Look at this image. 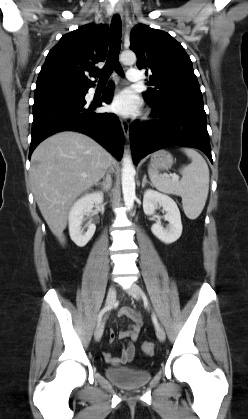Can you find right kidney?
Listing matches in <instances>:
<instances>
[{
	"instance_id": "right-kidney-1",
	"label": "right kidney",
	"mask_w": 248,
	"mask_h": 419,
	"mask_svg": "<svg viewBox=\"0 0 248 419\" xmlns=\"http://www.w3.org/2000/svg\"><path fill=\"white\" fill-rule=\"evenodd\" d=\"M103 202V194L101 192H92L84 195L77 200L72 206L68 220H69V233L72 241L79 247H84L93 237L96 226L95 224L88 223L87 232L83 233L81 225L85 215L92 212L94 204L100 205Z\"/></svg>"
}]
</instances>
